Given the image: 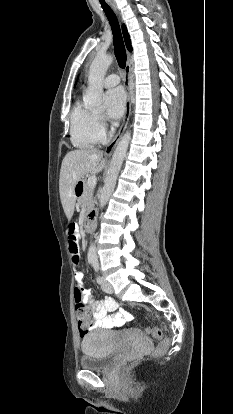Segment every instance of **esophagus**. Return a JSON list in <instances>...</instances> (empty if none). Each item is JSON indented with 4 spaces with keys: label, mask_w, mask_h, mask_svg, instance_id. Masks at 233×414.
Segmentation results:
<instances>
[{
    "label": "esophagus",
    "mask_w": 233,
    "mask_h": 414,
    "mask_svg": "<svg viewBox=\"0 0 233 414\" xmlns=\"http://www.w3.org/2000/svg\"><path fill=\"white\" fill-rule=\"evenodd\" d=\"M114 7V6H113ZM130 83H131V54L127 52V63L125 67V77H124V88L126 91V102H125V114L123 118V122L113 138V140L108 144V146L105 149L106 155H111L114 148L116 147L117 143L119 142L120 138L122 137L128 121L130 117L131 112V89H130Z\"/></svg>",
    "instance_id": "esophagus-1"
}]
</instances>
